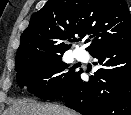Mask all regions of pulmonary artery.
Here are the masks:
<instances>
[{"label": "pulmonary artery", "mask_w": 131, "mask_h": 115, "mask_svg": "<svg viewBox=\"0 0 131 115\" xmlns=\"http://www.w3.org/2000/svg\"><path fill=\"white\" fill-rule=\"evenodd\" d=\"M77 56H78V58H81V54L80 53Z\"/></svg>", "instance_id": "1"}]
</instances>
